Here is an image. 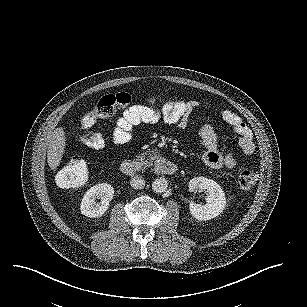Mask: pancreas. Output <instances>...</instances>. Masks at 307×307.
<instances>
[{"mask_svg":"<svg viewBox=\"0 0 307 307\" xmlns=\"http://www.w3.org/2000/svg\"><path fill=\"white\" fill-rule=\"evenodd\" d=\"M137 161L141 165V169L144 170L145 168L151 167L152 163L150 161V158L147 156L146 153H140L137 155Z\"/></svg>","mask_w":307,"mask_h":307,"instance_id":"pancreas-1","label":"pancreas"}]
</instances>
